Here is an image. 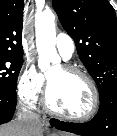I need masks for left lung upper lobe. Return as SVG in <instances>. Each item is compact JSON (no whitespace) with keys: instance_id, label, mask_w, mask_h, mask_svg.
I'll return each instance as SVG.
<instances>
[{"instance_id":"1","label":"left lung upper lobe","mask_w":117,"mask_h":136,"mask_svg":"<svg viewBox=\"0 0 117 136\" xmlns=\"http://www.w3.org/2000/svg\"><path fill=\"white\" fill-rule=\"evenodd\" d=\"M53 8L75 41L100 98L117 87V20L108 0H53Z\"/></svg>"}]
</instances>
